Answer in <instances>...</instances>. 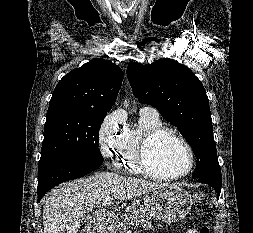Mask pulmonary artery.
Instances as JSON below:
<instances>
[{"label":"pulmonary artery","mask_w":253,"mask_h":233,"mask_svg":"<svg viewBox=\"0 0 253 233\" xmlns=\"http://www.w3.org/2000/svg\"><path fill=\"white\" fill-rule=\"evenodd\" d=\"M141 114L159 115L158 111L150 106H143L140 109Z\"/></svg>","instance_id":"1"}]
</instances>
